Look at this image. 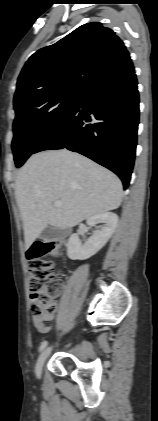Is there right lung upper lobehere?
<instances>
[{
  "instance_id": "obj_1",
  "label": "right lung upper lobe",
  "mask_w": 158,
  "mask_h": 421,
  "mask_svg": "<svg viewBox=\"0 0 158 421\" xmlns=\"http://www.w3.org/2000/svg\"><path fill=\"white\" fill-rule=\"evenodd\" d=\"M126 52L123 41L111 29L99 22L84 24L29 58L17 81L14 104L45 90L85 86Z\"/></svg>"
}]
</instances>
